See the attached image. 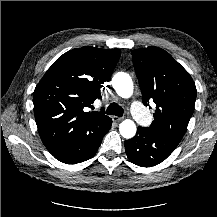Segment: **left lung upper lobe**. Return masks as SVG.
<instances>
[{"label": "left lung upper lobe", "mask_w": 217, "mask_h": 217, "mask_svg": "<svg viewBox=\"0 0 217 217\" xmlns=\"http://www.w3.org/2000/svg\"><path fill=\"white\" fill-rule=\"evenodd\" d=\"M132 59L144 105L156 104L149 128L180 142L194 110L193 79L169 53L155 46L133 50Z\"/></svg>", "instance_id": "obj_1"}]
</instances>
